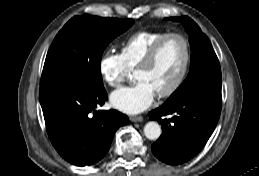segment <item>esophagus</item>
Instances as JSON below:
<instances>
[{
	"label": "esophagus",
	"instance_id": "obj_1",
	"mask_svg": "<svg viewBox=\"0 0 259 176\" xmlns=\"http://www.w3.org/2000/svg\"><path fill=\"white\" fill-rule=\"evenodd\" d=\"M130 120L132 122H141V121H143V117L142 116H131Z\"/></svg>",
	"mask_w": 259,
	"mask_h": 176
}]
</instances>
